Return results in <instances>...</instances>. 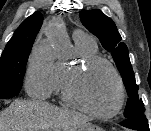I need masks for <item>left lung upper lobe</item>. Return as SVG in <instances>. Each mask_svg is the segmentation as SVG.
<instances>
[{
	"instance_id": "5c2ea615",
	"label": "left lung upper lobe",
	"mask_w": 151,
	"mask_h": 131,
	"mask_svg": "<svg viewBox=\"0 0 151 131\" xmlns=\"http://www.w3.org/2000/svg\"><path fill=\"white\" fill-rule=\"evenodd\" d=\"M82 24L98 37L102 46L112 53V57L122 76L129 99L126 104L124 116L132 118L141 116L145 112L142 99L138 95V85L130 63L127 46L121 42L122 38L112 19L100 10L80 11Z\"/></svg>"
}]
</instances>
